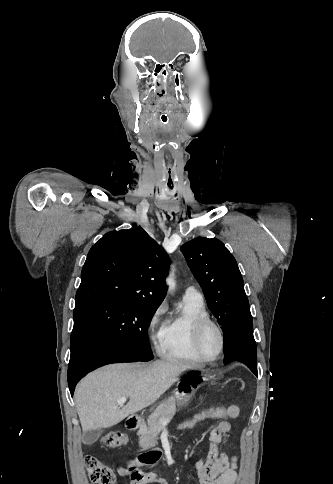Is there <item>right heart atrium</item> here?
Masks as SVG:
<instances>
[{"label":"right heart atrium","instance_id":"1","mask_svg":"<svg viewBox=\"0 0 333 484\" xmlns=\"http://www.w3.org/2000/svg\"><path fill=\"white\" fill-rule=\"evenodd\" d=\"M164 312H165V305L164 304L159 305L150 315L147 322V333H148L149 339L154 344L159 343L158 326L160 324V321Z\"/></svg>","mask_w":333,"mask_h":484}]
</instances>
